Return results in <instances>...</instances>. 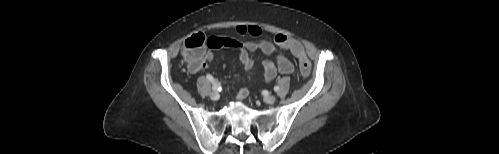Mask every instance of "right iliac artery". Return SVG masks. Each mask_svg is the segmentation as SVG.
Segmentation results:
<instances>
[{"mask_svg":"<svg viewBox=\"0 0 499 154\" xmlns=\"http://www.w3.org/2000/svg\"><path fill=\"white\" fill-rule=\"evenodd\" d=\"M206 78L213 84L212 85V89L214 91H220L222 89L221 85L218 83V82H215L214 78L212 77V75L210 74H207L206 75Z\"/></svg>","mask_w":499,"mask_h":154,"instance_id":"1","label":"right iliac artery"}]
</instances>
